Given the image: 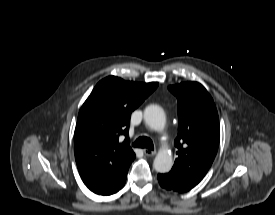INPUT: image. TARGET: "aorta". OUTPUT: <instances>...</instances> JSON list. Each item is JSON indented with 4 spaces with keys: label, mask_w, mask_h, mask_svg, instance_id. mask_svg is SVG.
<instances>
[{
    "label": "aorta",
    "mask_w": 275,
    "mask_h": 215,
    "mask_svg": "<svg viewBox=\"0 0 275 215\" xmlns=\"http://www.w3.org/2000/svg\"><path fill=\"white\" fill-rule=\"evenodd\" d=\"M144 121L153 130L162 131L165 128L166 117L163 109L158 105H149L144 110ZM154 169L159 173H167L173 166L171 154L160 151L153 163Z\"/></svg>",
    "instance_id": "1"
}]
</instances>
